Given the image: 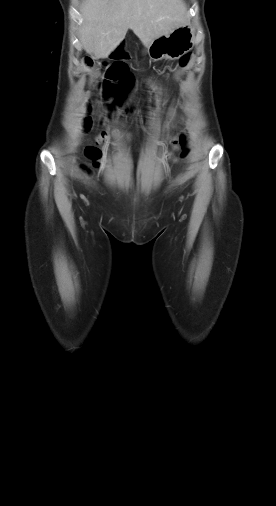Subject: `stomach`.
<instances>
[{"instance_id": "obj_1", "label": "stomach", "mask_w": 276, "mask_h": 506, "mask_svg": "<svg viewBox=\"0 0 276 506\" xmlns=\"http://www.w3.org/2000/svg\"><path fill=\"white\" fill-rule=\"evenodd\" d=\"M195 33L189 24L181 25L168 34L155 38L147 47L149 57L154 60L178 59L194 45Z\"/></svg>"}]
</instances>
